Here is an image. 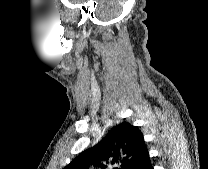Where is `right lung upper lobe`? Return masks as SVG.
<instances>
[{
	"label": "right lung upper lobe",
	"instance_id": "cb5924a9",
	"mask_svg": "<svg viewBox=\"0 0 208 169\" xmlns=\"http://www.w3.org/2000/svg\"><path fill=\"white\" fill-rule=\"evenodd\" d=\"M149 159L144 137L138 127L122 122L113 127L97 145L83 151L64 169H107L108 164H120L114 169H140Z\"/></svg>",
	"mask_w": 208,
	"mask_h": 169
}]
</instances>
